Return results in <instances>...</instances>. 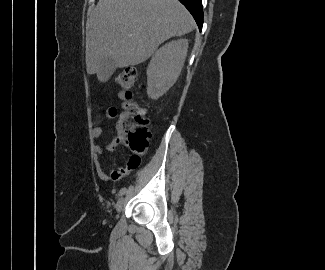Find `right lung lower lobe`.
I'll return each mask as SVG.
<instances>
[{
    "instance_id": "1",
    "label": "right lung lower lobe",
    "mask_w": 325,
    "mask_h": 270,
    "mask_svg": "<svg viewBox=\"0 0 325 270\" xmlns=\"http://www.w3.org/2000/svg\"><path fill=\"white\" fill-rule=\"evenodd\" d=\"M192 14L199 29H202L203 25V11L201 0H179Z\"/></svg>"
}]
</instances>
